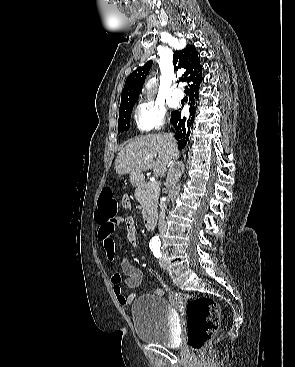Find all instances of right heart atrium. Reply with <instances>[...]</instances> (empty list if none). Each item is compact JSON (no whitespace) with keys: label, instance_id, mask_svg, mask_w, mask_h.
<instances>
[{"label":"right heart atrium","instance_id":"1","mask_svg":"<svg viewBox=\"0 0 295 367\" xmlns=\"http://www.w3.org/2000/svg\"><path fill=\"white\" fill-rule=\"evenodd\" d=\"M135 123L141 131H155L163 127L166 120V111L163 106L155 102H145L135 110Z\"/></svg>","mask_w":295,"mask_h":367}]
</instances>
